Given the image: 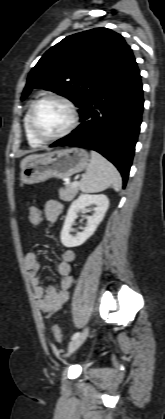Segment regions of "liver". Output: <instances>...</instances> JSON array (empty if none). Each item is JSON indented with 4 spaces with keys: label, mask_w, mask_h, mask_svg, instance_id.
I'll list each match as a JSON object with an SVG mask.
<instances>
[{
    "label": "liver",
    "mask_w": 165,
    "mask_h": 419,
    "mask_svg": "<svg viewBox=\"0 0 165 419\" xmlns=\"http://www.w3.org/2000/svg\"><path fill=\"white\" fill-rule=\"evenodd\" d=\"M43 155H46V154H42V155L32 154V155L26 156L25 158L22 159L20 163V167L22 168L30 159L38 157V156H43Z\"/></svg>",
    "instance_id": "liver-1"
}]
</instances>
